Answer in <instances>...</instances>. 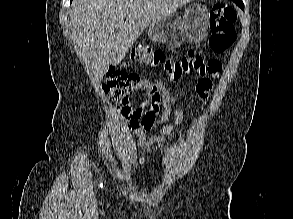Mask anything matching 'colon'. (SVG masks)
<instances>
[{"label":"colon","mask_w":293,"mask_h":219,"mask_svg":"<svg viewBox=\"0 0 293 219\" xmlns=\"http://www.w3.org/2000/svg\"><path fill=\"white\" fill-rule=\"evenodd\" d=\"M236 19V11L229 5L219 3L212 7L209 46L214 53L222 54L234 44ZM131 60L161 68L174 83L192 74H197L201 77L198 83L200 90L207 88L212 83L211 78L217 77L221 70V62L218 59L206 60L200 52L195 50L188 51L180 58L170 59L159 49L139 45L133 49ZM102 88L112 102L123 108L134 94L140 91L142 82L137 74L125 69L110 68Z\"/></svg>","instance_id":"1"}]
</instances>
